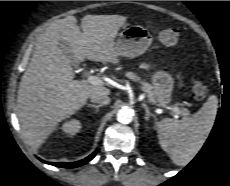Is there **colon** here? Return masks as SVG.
Wrapping results in <instances>:
<instances>
[{
    "label": "colon",
    "mask_w": 230,
    "mask_h": 186,
    "mask_svg": "<svg viewBox=\"0 0 230 186\" xmlns=\"http://www.w3.org/2000/svg\"><path fill=\"white\" fill-rule=\"evenodd\" d=\"M158 39L166 45H176L179 41V33L176 29L166 28L157 32ZM192 97L202 101L208 94V87L201 80H195L192 84Z\"/></svg>",
    "instance_id": "colon-1"
}]
</instances>
